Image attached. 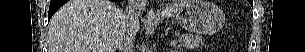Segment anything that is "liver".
<instances>
[{
    "label": "liver",
    "mask_w": 305,
    "mask_h": 52,
    "mask_svg": "<svg viewBox=\"0 0 305 52\" xmlns=\"http://www.w3.org/2000/svg\"><path fill=\"white\" fill-rule=\"evenodd\" d=\"M189 0L166 8L163 17L176 14ZM140 25L136 27V33ZM124 30L123 11L107 0H70L48 26V52H116Z\"/></svg>",
    "instance_id": "liver-1"
}]
</instances>
